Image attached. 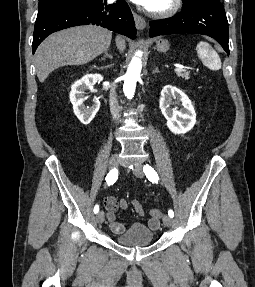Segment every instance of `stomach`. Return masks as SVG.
I'll use <instances>...</instances> for the list:
<instances>
[{
	"instance_id": "obj_1",
	"label": "stomach",
	"mask_w": 255,
	"mask_h": 287,
	"mask_svg": "<svg viewBox=\"0 0 255 287\" xmlns=\"http://www.w3.org/2000/svg\"><path fill=\"white\" fill-rule=\"evenodd\" d=\"M156 44V50H158V52H168L170 48L169 42H167V40H163V38H158Z\"/></svg>"
}]
</instances>
